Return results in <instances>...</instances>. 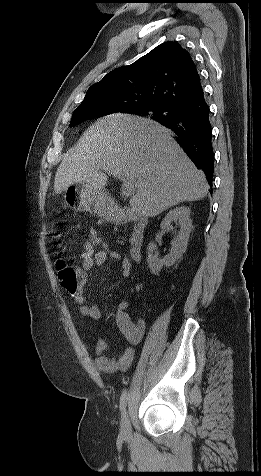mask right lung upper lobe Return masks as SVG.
Listing matches in <instances>:
<instances>
[{
	"mask_svg": "<svg viewBox=\"0 0 261 476\" xmlns=\"http://www.w3.org/2000/svg\"><path fill=\"white\" fill-rule=\"evenodd\" d=\"M203 93L191 55L178 43L168 41L128 66L112 70L93 84L83 102L121 105L133 112L143 106L164 105L179 109Z\"/></svg>",
	"mask_w": 261,
	"mask_h": 476,
	"instance_id": "1",
	"label": "right lung upper lobe"
}]
</instances>
